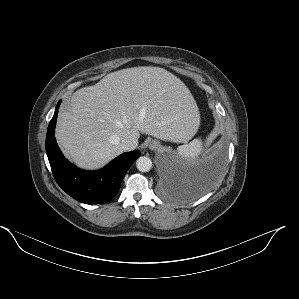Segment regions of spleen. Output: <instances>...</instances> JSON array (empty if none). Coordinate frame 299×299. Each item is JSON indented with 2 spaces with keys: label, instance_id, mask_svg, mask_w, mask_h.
<instances>
[{
  "label": "spleen",
  "instance_id": "1",
  "mask_svg": "<svg viewBox=\"0 0 299 299\" xmlns=\"http://www.w3.org/2000/svg\"><path fill=\"white\" fill-rule=\"evenodd\" d=\"M203 150V142L200 139H195L189 144L179 146L177 153L187 161H195L203 153Z\"/></svg>",
  "mask_w": 299,
  "mask_h": 299
}]
</instances>
